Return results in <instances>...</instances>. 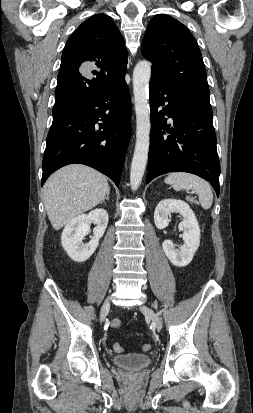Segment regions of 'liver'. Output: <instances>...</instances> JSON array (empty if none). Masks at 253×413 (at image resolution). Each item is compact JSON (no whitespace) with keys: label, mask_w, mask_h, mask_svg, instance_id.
I'll return each mask as SVG.
<instances>
[{"label":"liver","mask_w":253,"mask_h":413,"mask_svg":"<svg viewBox=\"0 0 253 413\" xmlns=\"http://www.w3.org/2000/svg\"><path fill=\"white\" fill-rule=\"evenodd\" d=\"M110 191L107 178L81 164L65 166L53 173L43 187V201L55 230L94 208Z\"/></svg>","instance_id":"1"}]
</instances>
